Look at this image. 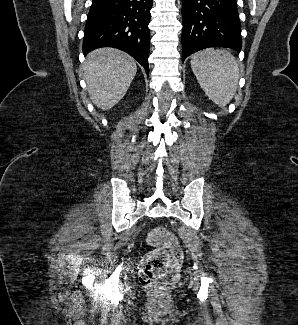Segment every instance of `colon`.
<instances>
[{
  "mask_svg": "<svg viewBox=\"0 0 298 325\" xmlns=\"http://www.w3.org/2000/svg\"><path fill=\"white\" fill-rule=\"evenodd\" d=\"M153 248L141 261L140 282L152 289L164 290L177 279L183 258L176 236L164 227L153 229L147 236Z\"/></svg>",
  "mask_w": 298,
  "mask_h": 325,
  "instance_id": "1",
  "label": "colon"
}]
</instances>
